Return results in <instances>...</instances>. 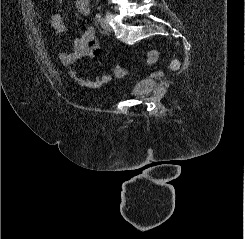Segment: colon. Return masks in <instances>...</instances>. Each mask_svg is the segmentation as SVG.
<instances>
[{
  "label": "colon",
  "mask_w": 245,
  "mask_h": 239,
  "mask_svg": "<svg viewBox=\"0 0 245 239\" xmlns=\"http://www.w3.org/2000/svg\"><path fill=\"white\" fill-rule=\"evenodd\" d=\"M159 52L154 50V51H150L148 54H147V63L148 64H155L158 59H159ZM179 66V63L177 60H173L171 61V67L172 69H177ZM115 74L117 77H124L126 74H127V70L124 66L122 65H117L115 67Z\"/></svg>",
  "instance_id": "obj_1"
}]
</instances>
